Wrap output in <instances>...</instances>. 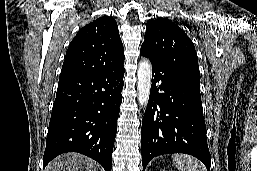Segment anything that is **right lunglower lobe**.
<instances>
[{"mask_svg": "<svg viewBox=\"0 0 257 171\" xmlns=\"http://www.w3.org/2000/svg\"><path fill=\"white\" fill-rule=\"evenodd\" d=\"M124 62L90 74L59 79L43 167L64 152H78L111 171Z\"/></svg>", "mask_w": 257, "mask_h": 171, "instance_id": "1", "label": "right lung lower lobe"}]
</instances>
